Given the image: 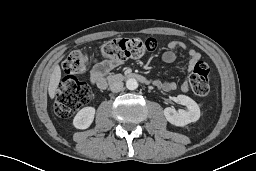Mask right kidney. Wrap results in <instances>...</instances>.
<instances>
[{
    "instance_id": "ca27d5eb",
    "label": "right kidney",
    "mask_w": 256,
    "mask_h": 171,
    "mask_svg": "<svg viewBox=\"0 0 256 171\" xmlns=\"http://www.w3.org/2000/svg\"><path fill=\"white\" fill-rule=\"evenodd\" d=\"M94 107L82 108L74 117L73 125L77 129H87L93 122L95 116Z\"/></svg>"
}]
</instances>
